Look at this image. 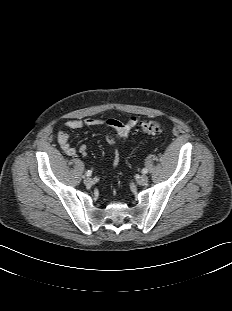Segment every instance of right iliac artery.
<instances>
[{
	"label": "right iliac artery",
	"mask_w": 232,
	"mask_h": 311,
	"mask_svg": "<svg viewBox=\"0 0 232 311\" xmlns=\"http://www.w3.org/2000/svg\"><path fill=\"white\" fill-rule=\"evenodd\" d=\"M85 174H86V176H91L92 175V171L88 170Z\"/></svg>",
	"instance_id": "right-iliac-artery-1"
}]
</instances>
